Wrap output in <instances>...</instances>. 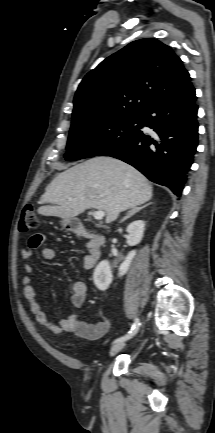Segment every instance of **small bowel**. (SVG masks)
Returning a JSON list of instances; mask_svg holds the SVG:
<instances>
[{"label": "small bowel", "instance_id": "small-bowel-1", "mask_svg": "<svg viewBox=\"0 0 215 433\" xmlns=\"http://www.w3.org/2000/svg\"><path fill=\"white\" fill-rule=\"evenodd\" d=\"M45 235L35 234L28 240V245L21 250V257L24 260L30 259L32 251L39 248L45 242ZM42 258L45 261H53L55 259V252L53 249L45 247L42 249ZM94 265L90 256L84 258V267L89 269ZM25 276L22 278V291L25 300L29 304L31 313L35 316L38 324L47 330L55 333H73L79 337L96 340L103 337L109 330L110 321L105 319L95 324H90L82 319L80 314H72L57 323L52 322L47 314L42 310L40 304L36 300V293L32 285L30 274L33 268L30 264L26 263L23 266ZM87 295L86 284L83 281H75L72 284V292L70 294V304L74 308H80L84 305Z\"/></svg>", "mask_w": 215, "mask_h": 433}]
</instances>
